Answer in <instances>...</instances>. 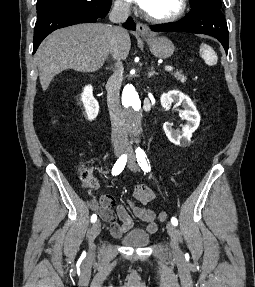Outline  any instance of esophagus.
<instances>
[{
  "label": "esophagus",
  "mask_w": 255,
  "mask_h": 287,
  "mask_svg": "<svg viewBox=\"0 0 255 287\" xmlns=\"http://www.w3.org/2000/svg\"><path fill=\"white\" fill-rule=\"evenodd\" d=\"M136 30L139 33V35L142 37H148L151 33L150 28L144 23H140V22L137 23Z\"/></svg>",
  "instance_id": "obj_1"
}]
</instances>
